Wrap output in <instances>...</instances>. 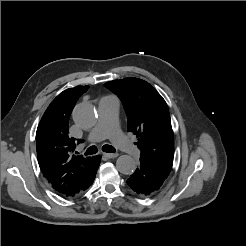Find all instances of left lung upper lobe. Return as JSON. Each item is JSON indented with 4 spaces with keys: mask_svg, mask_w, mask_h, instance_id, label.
Masks as SVG:
<instances>
[{
    "mask_svg": "<svg viewBox=\"0 0 246 246\" xmlns=\"http://www.w3.org/2000/svg\"><path fill=\"white\" fill-rule=\"evenodd\" d=\"M105 87L123 103L128 131L138 137L140 161L169 174L174 158V136L165 100L149 83L138 78L110 81Z\"/></svg>",
    "mask_w": 246,
    "mask_h": 246,
    "instance_id": "5c2ea615",
    "label": "left lung upper lobe"
}]
</instances>
